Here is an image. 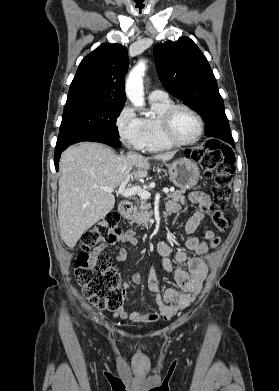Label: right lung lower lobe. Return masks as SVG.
Returning a JSON list of instances; mask_svg holds the SVG:
<instances>
[{
	"label": "right lung lower lobe",
	"mask_w": 279,
	"mask_h": 391,
	"mask_svg": "<svg viewBox=\"0 0 279 391\" xmlns=\"http://www.w3.org/2000/svg\"><path fill=\"white\" fill-rule=\"evenodd\" d=\"M85 141H94V142H100V143H106L113 145L115 147H119L121 145L120 140L118 139V136H114L112 134H104L97 137L90 138ZM69 145H63V146H56L55 148V156H54V164L56 170L59 168V159L61 156V153L68 147Z\"/></svg>",
	"instance_id": "obj_1"
}]
</instances>
